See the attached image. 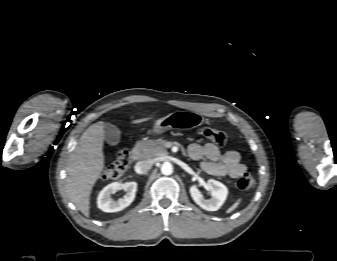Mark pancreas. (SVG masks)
I'll use <instances>...</instances> for the list:
<instances>
[{
  "instance_id": "cf45deb5",
  "label": "pancreas",
  "mask_w": 337,
  "mask_h": 261,
  "mask_svg": "<svg viewBox=\"0 0 337 261\" xmlns=\"http://www.w3.org/2000/svg\"><path fill=\"white\" fill-rule=\"evenodd\" d=\"M166 140L156 139V140H147L139 141L137 147L140 149L142 158H154L167 154L165 147Z\"/></svg>"
}]
</instances>
